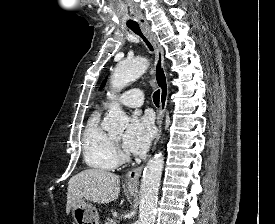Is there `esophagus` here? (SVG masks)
Segmentation results:
<instances>
[{
    "mask_svg": "<svg viewBox=\"0 0 275 224\" xmlns=\"http://www.w3.org/2000/svg\"><path fill=\"white\" fill-rule=\"evenodd\" d=\"M140 27L142 29L143 34L148 39V41L152 44L155 51V64H154V77L157 83V86L160 89V109L157 115V136L154 141V146L160 139L162 132V122L164 117V112L167 106L168 101V80L164 68V51L161 44L158 41V38L154 32H152L147 21H142L140 23ZM144 165H140L137 168L130 170L125 177V186L128 188H137L139 183V178L141 176Z\"/></svg>",
    "mask_w": 275,
    "mask_h": 224,
    "instance_id": "obj_1",
    "label": "esophagus"
}]
</instances>
